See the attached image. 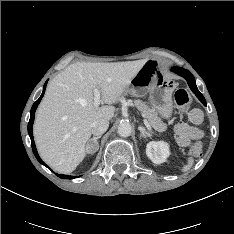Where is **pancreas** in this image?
<instances>
[{
	"label": "pancreas",
	"mask_w": 234,
	"mask_h": 234,
	"mask_svg": "<svg viewBox=\"0 0 234 234\" xmlns=\"http://www.w3.org/2000/svg\"><path fill=\"white\" fill-rule=\"evenodd\" d=\"M133 104L156 131L164 132L166 130V124L163 123L162 119L158 116V113L154 109L150 108L141 100H134Z\"/></svg>",
	"instance_id": "cf45deb5"
}]
</instances>
